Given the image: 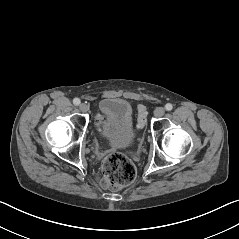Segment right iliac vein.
Instances as JSON below:
<instances>
[{
  "mask_svg": "<svg viewBox=\"0 0 239 239\" xmlns=\"http://www.w3.org/2000/svg\"><path fill=\"white\" fill-rule=\"evenodd\" d=\"M79 109L81 112L85 113L88 111L89 107L86 104L82 103L79 105Z\"/></svg>",
  "mask_w": 239,
  "mask_h": 239,
  "instance_id": "right-iliac-vein-1",
  "label": "right iliac vein"
}]
</instances>
